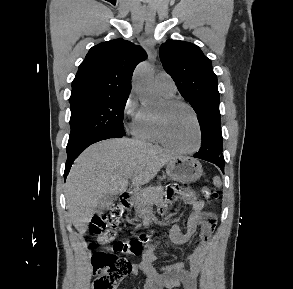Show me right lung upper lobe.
Instances as JSON below:
<instances>
[{
    "label": "right lung upper lobe",
    "instance_id": "obj_1",
    "mask_svg": "<svg viewBox=\"0 0 293 289\" xmlns=\"http://www.w3.org/2000/svg\"><path fill=\"white\" fill-rule=\"evenodd\" d=\"M145 58L140 46L123 39L92 47L72 82L69 100L129 95L133 71Z\"/></svg>",
    "mask_w": 293,
    "mask_h": 289
}]
</instances>
